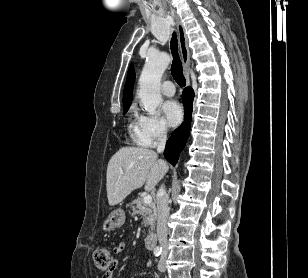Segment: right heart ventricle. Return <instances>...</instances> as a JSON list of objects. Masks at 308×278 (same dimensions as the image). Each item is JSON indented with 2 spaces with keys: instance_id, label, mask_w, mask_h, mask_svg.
I'll use <instances>...</instances> for the list:
<instances>
[{
  "instance_id": "e07e8e85",
  "label": "right heart ventricle",
  "mask_w": 308,
  "mask_h": 278,
  "mask_svg": "<svg viewBox=\"0 0 308 278\" xmlns=\"http://www.w3.org/2000/svg\"><path fill=\"white\" fill-rule=\"evenodd\" d=\"M138 121H139V116L136 112L135 109L131 111L129 121H128V127L132 131L133 136L136 139V134H137V129H138Z\"/></svg>"
}]
</instances>
